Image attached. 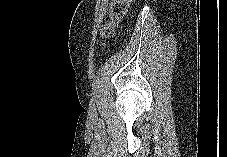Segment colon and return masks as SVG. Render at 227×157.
Listing matches in <instances>:
<instances>
[{
	"label": "colon",
	"instance_id": "1",
	"mask_svg": "<svg viewBox=\"0 0 227 157\" xmlns=\"http://www.w3.org/2000/svg\"><path fill=\"white\" fill-rule=\"evenodd\" d=\"M132 0H113L111 10L105 23L100 28V35L103 40L114 36L121 19L126 14Z\"/></svg>",
	"mask_w": 227,
	"mask_h": 157
}]
</instances>
